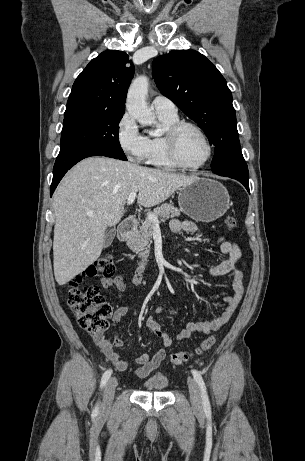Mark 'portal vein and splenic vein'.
I'll list each match as a JSON object with an SVG mask.
<instances>
[{"mask_svg":"<svg viewBox=\"0 0 305 461\" xmlns=\"http://www.w3.org/2000/svg\"><path fill=\"white\" fill-rule=\"evenodd\" d=\"M136 195H137L136 192H131V193L129 194V197H128V199H127V205H131V204L134 202V200H135V198H136ZM89 216H90V217H93V215H91V214H90ZM149 218L153 221L154 224H158V223H159L158 218H157L156 216H154V215H149Z\"/></svg>","mask_w":305,"mask_h":461,"instance_id":"18ae733b","label":"portal vein and splenic vein"}]
</instances>
